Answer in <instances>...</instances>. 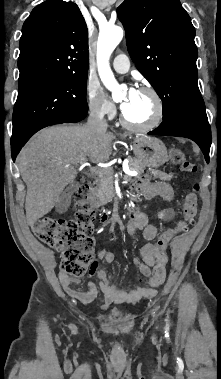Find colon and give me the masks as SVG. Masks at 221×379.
<instances>
[{"label":"colon","instance_id":"colon-1","mask_svg":"<svg viewBox=\"0 0 221 379\" xmlns=\"http://www.w3.org/2000/svg\"><path fill=\"white\" fill-rule=\"evenodd\" d=\"M173 164L187 173L195 172V165L186 159L179 149L170 151ZM199 186L196 184L183 203L182 219L170 229L162 231L157 239V263L149 280L152 288L161 286L166 279L168 257L166 248L172 238L187 230L196 217ZM76 217L74 219L41 218L32 225L34 234L46 245L62 252L61 270L71 276H82L90 264H94L92 234L95 223V202L83 187L75 193Z\"/></svg>","mask_w":221,"mask_h":379}]
</instances>
